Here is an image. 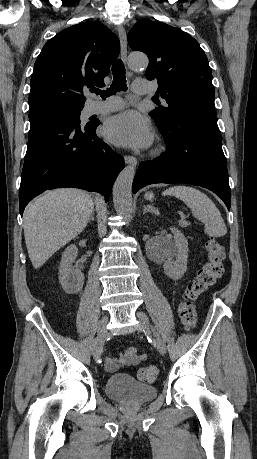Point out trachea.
Listing matches in <instances>:
<instances>
[{"instance_id":"obj_1","label":"trachea","mask_w":257,"mask_h":459,"mask_svg":"<svg viewBox=\"0 0 257 459\" xmlns=\"http://www.w3.org/2000/svg\"><path fill=\"white\" fill-rule=\"evenodd\" d=\"M112 74H113V82L106 91H101L99 89H94L93 92L97 95L99 94L102 99L109 97L111 95H115L119 91H126V75H125V67L123 65L122 60L118 59L112 65Z\"/></svg>"}]
</instances>
